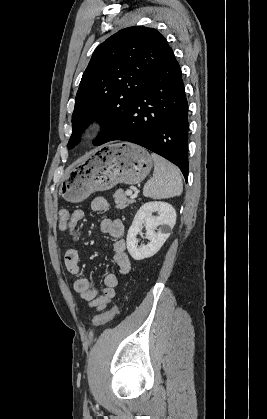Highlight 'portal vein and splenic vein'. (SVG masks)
<instances>
[{
    "instance_id": "portal-vein-and-splenic-vein-1",
    "label": "portal vein and splenic vein",
    "mask_w": 267,
    "mask_h": 419,
    "mask_svg": "<svg viewBox=\"0 0 267 419\" xmlns=\"http://www.w3.org/2000/svg\"><path fill=\"white\" fill-rule=\"evenodd\" d=\"M132 194H133V191L132 190H126V195L132 196Z\"/></svg>"
}]
</instances>
